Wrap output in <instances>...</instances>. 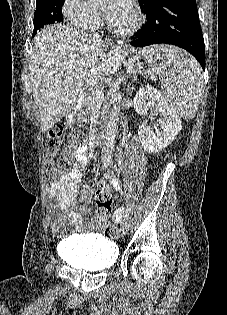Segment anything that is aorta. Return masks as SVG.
I'll list each match as a JSON object with an SVG mask.
<instances>
[{
	"mask_svg": "<svg viewBox=\"0 0 227 315\" xmlns=\"http://www.w3.org/2000/svg\"><path fill=\"white\" fill-rule=\"evenodd\" d=\"M105 0H88L90 4H102ZM120 104L115 103L106 126L102 148V159L111 160L114 150L115 137L117 133V122L119 120Z\"/></svg>",
	"mask_w": 227,
	"mask_h": 315,
	"instance_id": "1",
	"label": "aorta"
}]
</instances>
